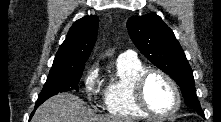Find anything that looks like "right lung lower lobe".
Segmentation results:
<instances>
[{
  "label": "right lung lower lobe",
  "instance_id": "obj_1",
  "mask_svg": "<svg viewBox=\"0 0 221 122\" xmlns=\"http://www.w3.org/2000/svg\"><path fill=\"white\" fill-rule=\"evenodd\" d=\"M38 106H39V104H36V105H35V109H34V111L32 112L31 117L33 116V114H34V112H35V110L37 109ZM31 117H30V119H31Z\"/></svg>",
  "mask_w": 221,
  "mask_h": 122
}]
</instances>
